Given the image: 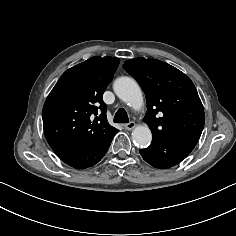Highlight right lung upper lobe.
I'll use <instances>...</instances> for the list:
<instances>
[{
	"mask_svg": "<svg viewBox=\"0 0 236 236\" xmlns=\"http://www.w3.org/2000/svg\"><path fill=\"white\" fill-rule=\"evenodd\" d=\"M119 62L115 57H92L62 74L42 112L50 146L96 144L117 130L107 122L102 95Z\"/></svg>",
	"mask_w": 236,
	"mask_h": 236,
	"instance_id": "right-lung-upper-lobe-1",
	"label": "right lung upper lobe"
}]
</instances>
